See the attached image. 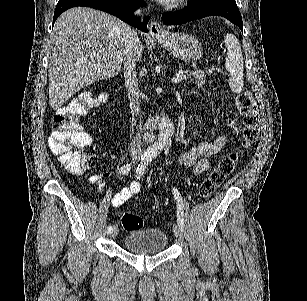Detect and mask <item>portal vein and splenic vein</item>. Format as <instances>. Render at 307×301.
Masks as SVG:
<instances>
[{
    "label": "portal vein and splenic vein",
    "instance_id": "18ae733b",
    "mask_svg": "<svg viewBox=\"0 0 307 301\" xmlns=\"http://www.w3.org/2000/svg\"><path fill=\"white\" fill-rule=\"evenodd\" d=\"M183 76H185V74H183V72H177L176 78H172V80H173V82H180V80H182Z\"/></svg>",
    "mask_w": 307,
    "mask_h": 301
}]
</instances>
